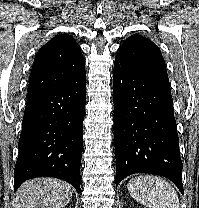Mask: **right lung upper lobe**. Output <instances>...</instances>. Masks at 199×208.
<instances>
[{
    "label": "right lung upper lobe",
    "mask_w": 199,
    "mask_h": 208,
    "mask_svg": "<svg viewBox=\"0 0 199 208\" xmlns=\"http://www.w3.org/2000/svg\"><path fill=\"white\" fill-rule=\"evenodd\" d=\"M85 61L72 36L57 35L37 52L28 92L57 88L85 77Z\"/></svg>",
    "instance_id": "right-lung-upper-lobe-1"
}]
</instances>
